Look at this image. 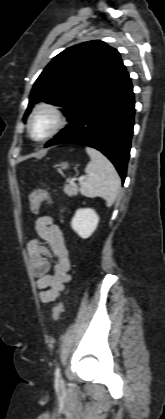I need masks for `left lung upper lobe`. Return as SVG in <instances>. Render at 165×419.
Wrapping results in <instances>:
<instances>
[{
  "instance_id": "1",
  "label": "left lung upper lobe",
  "mask_w": 165,
  "mask_h": 419,
  "mask_svg": "<svg viewBox=\"0 0 165 419\" xmlns=\"http://www.w3.org/2000/svg\"><path fill=\"white\" fill-rule=\"evenodd\" d=\"M124 70L118 51L103 41L67 48L52 59L34 83L24 120L39 101L63 107L70 119L87 99Z\"/></svg>"
}]
</instances>
